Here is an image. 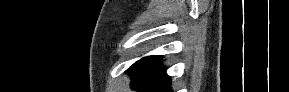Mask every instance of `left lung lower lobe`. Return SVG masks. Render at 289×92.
Wrapping results in <instances>:
<instances>
[{
	"label": "left lung lower lobe",
	"instance_id": "left-lung-lower-lobe-1",
	"mask_svg": "<svg viewBox=\"0 0 289 92\" xmlns=\"http://www.w3.org/2000/svg\"><path fill=\"white\" fill-rule=\"evenodd\" d=\"M160 61V56H148L134 63L126 71L132 77V87L142 92H172L170 77Z\"/></svg>",
	"mask_w": 289,
	"mask_h": 92
}]
</instances>
